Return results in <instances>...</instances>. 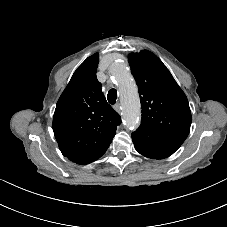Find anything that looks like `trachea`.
<instances>
[{
  "label": "trachea",
  "mask_w": 227,
  "mask_h": 227,
  "mask_svg": "<svg viewBox=\"0 0 227 227\" xmlns=\"http://www.w3.org/2000/svg\"><path fill=\"white\" fill-rule=\"evenodd\" d=\"M117 91L115 89H111L107 94V100L111 105H114L117 100Z\"/></svg>",
  "instance_id": "3493384b"
}]
</instances>
